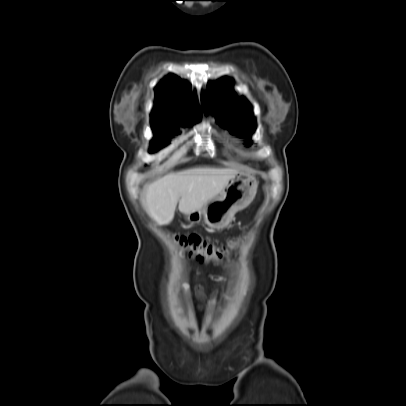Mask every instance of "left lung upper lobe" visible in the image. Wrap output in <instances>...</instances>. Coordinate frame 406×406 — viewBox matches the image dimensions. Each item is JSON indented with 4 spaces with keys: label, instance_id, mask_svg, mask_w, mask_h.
<instances>
[{
    "label": "left lung upper lobe",
    "instance_id": "5c2ea615",
    "mask_svg": "<svg viewBox=\"0 0 406 406\" xmlns=\"http://www.w3.org/2000/svg\"><path fill=\"white\" fill-rule=\"evenodd\" d=\"M221 95H207L206 104L208 109L214 107L213 113H219L220 122L231 134L249 138L254 130L253 119L250 117V107L243 98H238L229 89V82L222 79L219 82ZM248 144V143H245Z\"/></svg>",
    "mask_w": 406,
    "mask_h": 406
}]
</instances>
